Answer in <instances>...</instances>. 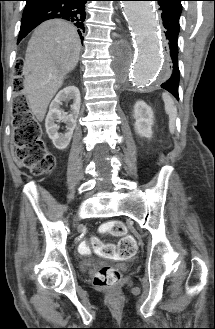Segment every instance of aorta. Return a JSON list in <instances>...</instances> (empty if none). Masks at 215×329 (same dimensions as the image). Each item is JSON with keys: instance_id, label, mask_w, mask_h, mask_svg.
I'll use <instances>...</instances> for the list:
<instances>
[{"instance_id": "762f6f07", "label": "aorta", "mask_w": 215, "mask_h": 329, "mask_svg": "<svg viewBox=\"0 0 215 329\" xmlns=\"http://www.w3.org/2000/svg\"><path fill=\"white\" fill-rule=\"evenodd\" d=\"M136 52L130 64L136 88H148L164 78L163 45L157 13L151 2L123 1Z\"/></svg>"}]
</instances>
